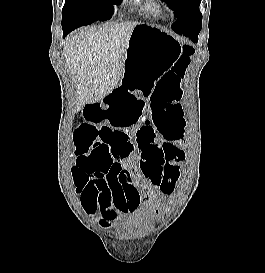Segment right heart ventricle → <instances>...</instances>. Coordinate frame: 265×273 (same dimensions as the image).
<instances>
[{"label":"right heart ventricle","instance_id":"1","mask_svg":"<svg viewBox=\"0 0 265 273\" xmlns=\"http://www.w3.org/2000/svg\"><path fill=\"white\" fill-rule=\"evenodd\" d=\"M143 9L147 15L155 19L163 18V10L159 3V0H146L144 2Z\"/></svg>","mask_w":265,"mask_h":273}]
</instances>
